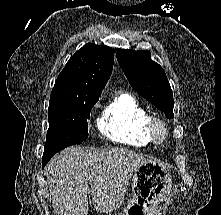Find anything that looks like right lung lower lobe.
I'll return each instance as SVG.
<instances>
[{
    "label": "right lung lower lobe",
    "mask_w": 221,
    "mask_h": 215,
    "mask_svg": "<svg viewBox=\"0 0 221 215\" xmlns=\"http://www.w3.org/2000/svg\"><path fill=\"white\" fill-rule=\"evenodd\" d=\"M49 160H50V159H43V161H42L43 166H42V167H44Z\"/></svg>",
    "instance_id": "1"
}]
</instances>
